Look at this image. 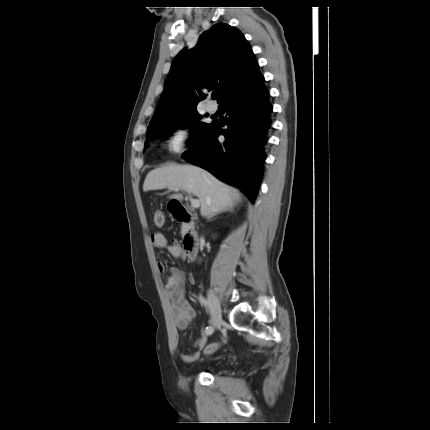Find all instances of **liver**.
<instances>
[{
    "mask_svg": "<svg viewBox=\"0 0 430 430\" xmlns=\"http://www.w3.org/2000/svg\"><path fill=\"white\" fill-rule=\"evenodd\" d=\"M168 188L182 189L198 197L202 216L209 217L237 202L234 194L223 182L208 171L192 165H167L150 171L144 181L143 191ZM181 200L179 194L171 196Z\"/></svg>",
    "mask_w": 430,
    "mask_h": 430,
    "instance_id": "1",
    "label": "liver"
}]
</instances>
